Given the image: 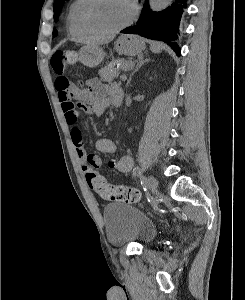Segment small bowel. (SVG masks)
<instances>
[{"instance_id": "obj_1", "label": "small bowel", "mask_w": 245, "mask_h": 300, "mask_svg": "<svg viewBox=\"0 0 245 300\" xmlns=\"http://www.w3.org/2000/svg\"><path fill=\"white\" fill-rule=\"evenodd\" d=\"M55 89L66 124L70 128L72 144L87 178L90 173H98L101 159L97 154L89 153L85 149L82 132L77 125L78 111L75 102L83 104L88 114L99 117L103 115L109 104L116 105V95L122 91L117 85L103 84L98 79L89 80L86 86H78L62 75L56 79ZM95 147L103 154L117 152L116 144L108 138H99ZM108 167L120 173H128L132 170L133 159L127 154H121L117 159L110 160Z\"/></svg>"}]
</instances>
